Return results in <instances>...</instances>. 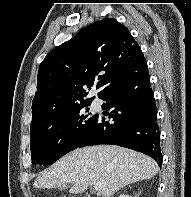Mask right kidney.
<instances>
[{
    "label": "right kidney",
    "mask_w": 191,
    "mask_h": 197,
    "mask_svg": "<svg viewBox=\"0 0 191 197\" xmlns=\"http://www.w3.org/2000/svg\"><path fill=\"white\" fill-rule=\"evenodd\" d=\"M118 197H132V196H130V195H128V194H122V195H120V196H118Z\"/></svg>",
    "instance_id": "1"
}]
</instances>
